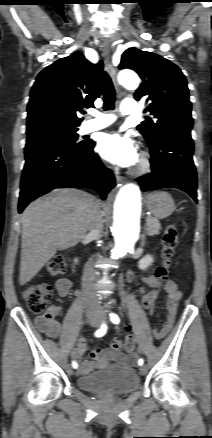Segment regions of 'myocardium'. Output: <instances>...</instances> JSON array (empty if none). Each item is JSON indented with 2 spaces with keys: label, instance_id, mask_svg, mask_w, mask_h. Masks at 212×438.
Masks as SVG:
<instances>
[{
  "label": "myocardium",
  "instance_id": "f54148a6",
  "mask_svg": "<svg viewBox=\"0 0 212 438\" xmlns=\"http://www.w3.org/2000/svg\"><path fill=\"white\" fill-rule=\"evenodd\" d=\"M151 169V159L146 154H141L132 169V174L135 176H143L149 173Z\"/></svg>",
  "mask_w": 212,
  "mask_h": 438
}]
</instances>
